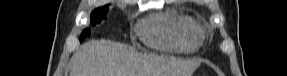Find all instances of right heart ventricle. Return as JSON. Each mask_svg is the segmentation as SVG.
I'll return each mask as SVG.
<instances>
[{"label":"right heart ventricle","mask_w":287,"mask_h":76,"mask_svg":"<svg viewBox=\"0 0 287 76\" xmlns=\"http://www.w3.org/2000/svg\"><path fill=\"white\" fill-rule=\"evenodd\" d=\"M139 34L152 47L185 52L196 50L203 40L199 24L176 8L168 9L165 17L141 26Z\"/></svg>","instance_id":"e07e8e85"}]
</instances>
